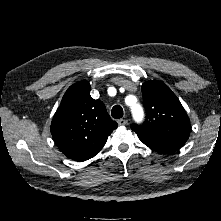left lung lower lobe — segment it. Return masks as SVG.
<instances>
[{
  "label": "left lung lower lobe",
  "mask_w": 221,
  "mask_h": 221,
  "mask_svg": "<svg viewBox=\"0 0 221 221\" xmlns=\"http://www.w3.org/2000/svg\"><path fill=\"white\" fill-rule=\"evenodd\" d=\"M140 140L147 145L149 148L153 149L159 153H171L178 150L186 141L181 139H163L160 137L152 135L138 134Z\"/></svg>",
  "instance_id": "left-lung-lower-lobe-1"
}]
</instances>
